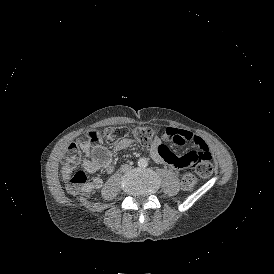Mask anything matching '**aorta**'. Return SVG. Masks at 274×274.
I'll list each match as a JSON object with an SVG mask.
<instances>
[{"instance_id": "aorta-1", "label": "aorta", "mask_w": 274, "mask_h": 274, "mask_svg": "<svg viewBox=\"0 0 274 274\" xmlns=\"http://www.w3.org/2000/svg\"><path fill=\"white\" fill-rule=\"evenodd\" d=\"M148 164V161L145 158H140L138 160V165L139 166H146Z\"/></svg>"}]
</instances>
